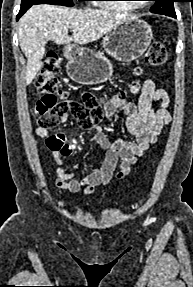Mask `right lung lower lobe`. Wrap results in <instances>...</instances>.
<instances>
[{
  "label": "right lung lower lobe",
  "mask_w": 193,
  "mask_h": 287,
  "mask_svg": "<svg viewBox=\"0 0 193 287\" xmlns=\"http://www.w3.org/2000/svg\"><path fill=\"white\" fill-rule=\"evenodd\" d=\"M30 5L27 6H21V9L17 15V20L30 8Z\"/></svg>",
  "instance_id": "obj_1"
}]
</instances>
